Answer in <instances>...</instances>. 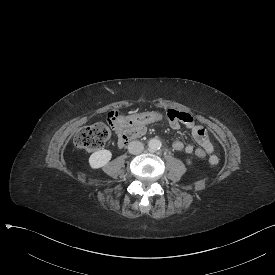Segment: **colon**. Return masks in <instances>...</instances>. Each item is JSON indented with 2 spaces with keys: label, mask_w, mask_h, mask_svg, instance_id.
Masks as SVG:
<instances>
[{
  "label": "colon",
  "mask_w": 275,
  "mask_h": 275,
  "mask_svg": "<svg viewBox=\"0 0 275 275\" xmlns=\"http://www.w3.org/2000/svg\"><path fill=\"white\" fill-rule=\"evenodd\" d=\"M163 119H165V113L159 112H147L145 114L122 117L118 111L113 110L107 116V120L112 124L113 129L128 128L135 124L141 125L144 121L147 123H154ZM112 128L107 123H95L86 126L76 134L74 140L75 145L80 149L88 151L99 150L112 136ZM195 155L203 158L206 156V152L202 148H197L195 150Z\"/></svg>",
  "instance_id": "obj_1"
}]
</instances>
